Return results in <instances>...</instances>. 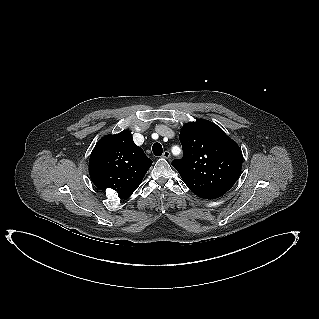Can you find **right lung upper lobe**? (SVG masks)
Here are the masks:
<instances>
[{"label": "right lung upper lobe", "instance_id": "cb5924a9", "mask_svg": "<svg viewBox=\"0 0 319 319\" xmlns=\"http://www.w3.org/2000/svg\"><path fill=\"white\" fill-rule=\"evenodd\" d=\"M142 148L133 142L132 134L124 130L103 137L94 147L89 160V174L100 190L111 188L119 198L127 199L137 189L150 168Z\"/></svg>", "mask_w": 319, "mask_h": 319}]
</instances>
